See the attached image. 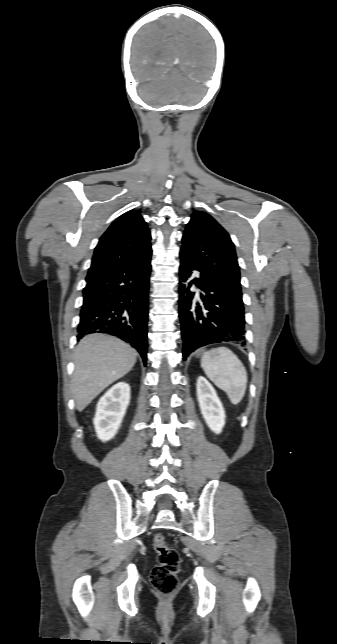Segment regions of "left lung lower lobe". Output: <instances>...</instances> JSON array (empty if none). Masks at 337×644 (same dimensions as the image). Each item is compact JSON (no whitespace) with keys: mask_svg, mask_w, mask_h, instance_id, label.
Returning a JSON list of instances; mask_svg holds the SVG:
<instances>
[{"mask_svg":"<svg viewBox=\"0 0 337 644\" xmlns=\"http://www.w3.org/2000/svg\"><path fill=\"white\" fill-rule=\"evenodd\" d=\"M181 258L179 269V318L183 338V359L199 347L221 342L246 344L242 300L232 295L212 276ZM193 270L199 277L192 279ZM195 284L201 290H190Z\"/></svg>","mask_w":337,"mask_h":644,"instance_id":"1","label":"left lung lower lobe"}]
</instances>
